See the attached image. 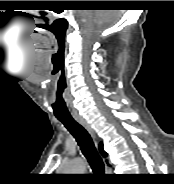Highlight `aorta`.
<instances>
[{"label": "aorta", "instance_id": "obj_1", "mask_svg": "<svg viewBox=\"0 0 174 184\" xmlns=\"http://www.w3.org/2000/svg\"><path fill=\"white\" fill-rule=\"evenodd\" d=\"M85 169V164L77 160L66 169V172L67 174H83Z\"/></svg>", "mask_w": 174, "mask_h": 184}]
</instances>
